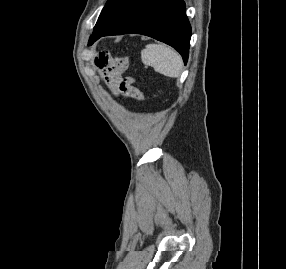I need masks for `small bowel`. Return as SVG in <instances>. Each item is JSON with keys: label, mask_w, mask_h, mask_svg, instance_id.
<instances>
[{"label": "small bowel", "mask_w": 286, "mask_h": 269, "mask_svg": "<svg viewBox=\"0 0 286 269\" xmlns=\"http://www.w3.org/2000/svg\"><path fill=\"white\" fill-rule=\"evenodd\" d=\"M99 77L108 84L111 90L117 94H123L126 88H122V71L117 70V64L112 61L108 54H100L96 58Z\"/></svg>", "instance_id": "small-bowel-1"}]
</instances>
